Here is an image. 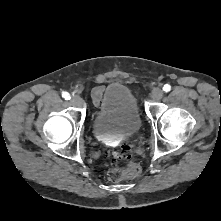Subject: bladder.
Masks as SVG:
<instances>
[{"mask_svg":"<svg viewBox=\"0 0 221 221\" xmlns=\"http://www.w3.org/2000/svg\"><path fill=\"white\" fill-rule=\"evenodd\" d=\"M141 127L142 119L131 89L119 82L109 84L92 122L94 136L104 142L115 136L133 135Z\"/></svg>","mask_w":221,"mask_h":221,"instance_id":"obj_1","label":"bladder"}]
</instances>
